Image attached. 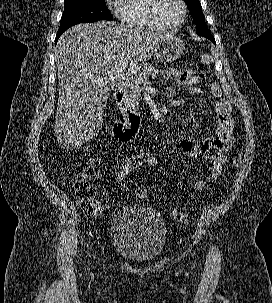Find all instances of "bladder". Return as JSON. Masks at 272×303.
Wrapping results in <instances>:
<instances>
[{
    "label": "bladder",
    "instance_id": "1",
    "mask_svg": "<svg viewBox=\"0 0 272 303\" xmlns=\"http://www.w3.org/2000/svg\"><path fill=\"white\" fill-rule=\"evenodd\" d=\"M110 231L115 252L134 263L156 260L167 241V227L160 212L142 204L121 207L112 219Z\"/></svg>",
    "mask_w": 272,
    "mask_h": 303
}]
</instances>
